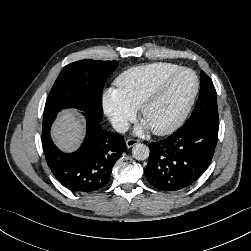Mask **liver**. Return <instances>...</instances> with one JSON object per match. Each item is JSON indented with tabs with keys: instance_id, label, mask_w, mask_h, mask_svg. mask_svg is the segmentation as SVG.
<instances>
[{
	"instance_id": "liver-1",
	"label": "liver",
	"mask_w": 251,
	"mask_h": 251,
	"mask_svg": "<svg viewBox=\"0 0 251 251\" xmlns=\"http://www.w3.org/2000/svg\"><path fill=\"white\" fill-rule=\"evenodd\" d=\"M84 134L83 120L71 110L60 113L52 128V138L64 151H73L80 144Z\"/></svg>"
}]
</instances>
